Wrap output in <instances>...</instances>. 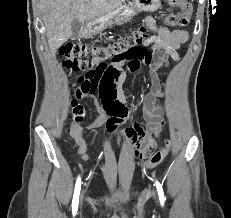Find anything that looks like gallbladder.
I'll use <instances>...</instances> for the list:
<instances>
[{
	"label": "gallbladder",
	"instance_id": "bac80fb5",
	"mask_svg": "<svg viewBox=\"0 0 231 218\" xmlns=\"http://www.w3.org/2000/svg\"><path fill=\"white\" fill-rule=\"evenodd\" d=\"M84 27V23L78 19H73L71 22L72 36L71 39H77Z\"/></svg>",
	"mask_w": 231,
	"mask_h": 218
}]
</instances>
